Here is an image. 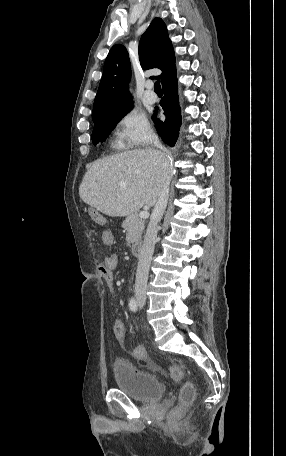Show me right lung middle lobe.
<instances>
[{
    "label": "right lung middle lobe",
    "mask_w": 286,
    "mask_h": 456,
    "mask_svg": "<svg viewBox=\"0 0 286 456\" xmlns=\"http://www.w3.org/2000/svg\"><path fill=\"white\" fill-rule=\"evenodd\" d=\"M131 106L120 107L106 112L101 115L94 122V129L92 132V142L95 145L98 142L105 141L110 132L114 129L116 124L123 118L129 111Z\"/></svg>",
    "instance_id": "right-lung-middle-lobe-1"
}]
</instances>
